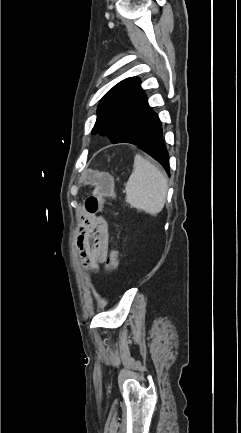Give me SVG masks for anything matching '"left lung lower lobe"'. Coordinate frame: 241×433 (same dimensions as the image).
Listing matches in <instances>:
<instances>
[{"instance_id":"left-lung-lower-lobe-1","label":"left lung lower lobe","mask_w":241,"mask_h":433,"mask_svg":"<svg viewBox=\"0 0 241 433\" xmlns=\"http://www.w3.org/2000/svg\"><path fill=\"white\" fill-rule=\"evenodd\" d=\"M126 143L134 144L156 159L170 174L169 154L164 143L163 131L159 118L144 133L137 135Z\"/></svg>"}]
</instances>
